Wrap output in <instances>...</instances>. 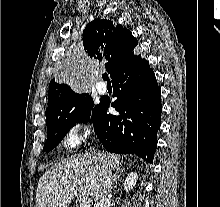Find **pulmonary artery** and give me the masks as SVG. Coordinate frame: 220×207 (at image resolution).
<instances>
[{
  "mask_svg": "<svg viewBox=\"0 0 220 207\" xmlns=\"http://www.w3.org/2000/svg\"><path fill=\"white\" fill-rule=\"evenodd\" d=\"M97 91L100 93V94H104L106 93V87L104 85H98L97 86Z\"/></svg>",
  "mask_w": 220,
  "mask_h": 207,
  "instance_id": "pulmonary-artery-1",
  "label": "pulmonary artery"
}]
</instances>
